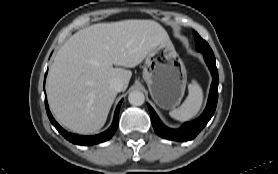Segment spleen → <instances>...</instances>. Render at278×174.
<instances>
[{"label":"spleen","mask_w":278,"mask_h":174,"mask_svg":"<svg viewBox=\"0 0 278 174\" xmlns=\"http://www.w3.org/2000/svg\"><path fill=\"white\" fill-rule=\"evenodd\" d=\"M188 92V96L182 105L169 112L172 118L179 121H188L198 114L203 102L202 88L193 80L192 83L188 85Z\"/></svg>","instance_id":"obj_1"}]
</instances>
